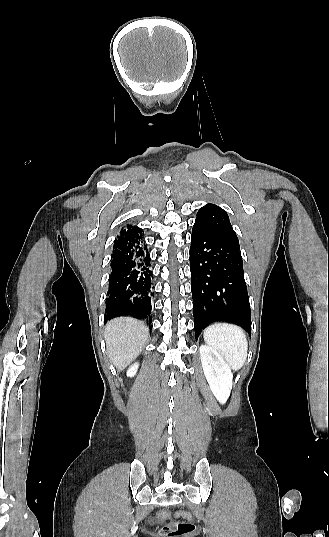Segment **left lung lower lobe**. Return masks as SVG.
<instances>
[{
	"label": "left lung lower lobe",
	"instance_id": "1",
	"mask_svg": "<svg viewBox=\"0 0 329 537\" xmlns=\"http://www.w3.org/2000/svg\"><path fill=\"white\" fill-rule=\"evenodd\" d=\"M196 339L214 322H229L251 334V310L240 246L195 223L190 246Z\"/></svg>",
	"mask_w": 329,
	"mask_h": 537
}]
</instances>
